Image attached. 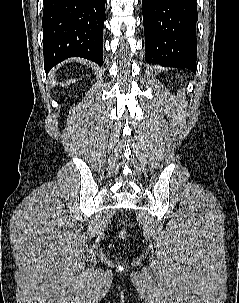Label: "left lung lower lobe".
I'll list each match as a JSON object with an SVG mask.
<instances>
[{"instance_id":"left-lung-lower-lobe-1","label":"left lung lower lobe","mask_w":239,"mask_h":303,"mask_svg":"<svg viewBox=\"0 0 239 303\" xmlns=\"http://www.w3.org/2000/svg\"><path fill=\"white\" fill-rule=\"evenodd\" d=\"M196 0H142L145 60L196 72Z\"/></svg>"}]
</instances>
